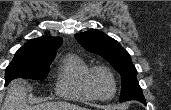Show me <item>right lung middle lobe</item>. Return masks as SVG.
Masks as SVG:
<instances>
[{
    "mask_svg": "<svg viewBox=\"0 0 171 110\" xmlns=\"http://www.w3.org/2000/svg\"><path fill=\"white\" fill-rule=\"evenodd\" d=\"M55 56H25L15 54L13 61L6 68L5 81L8 84L15 78L44 79Z\"/></svg>",
    "mask_w": 171,
    "mask_h": 110,
    "instance_id": "dd1d6c3e",
    "label": "right lung middle lobe"
}]
</instances>
